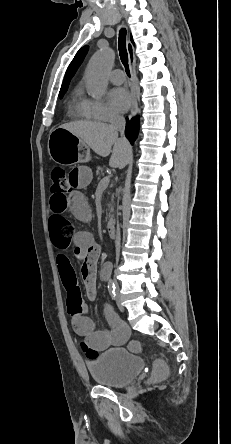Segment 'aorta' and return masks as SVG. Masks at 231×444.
Listing matches in <instances>:
<instances>
[{"mask_svg":"<svg viewBox=\"0 0 231 444\" xmlns=\"http://www.w3.org/2000/svg\"><path fill=\"white\" fill-rule=\"evenodd\" d=\"M114 61L113 52L110 49L98 51L90 60L85 80L88 91L95 99H101L107 89V71Z\"/></svg>","mask_w":231,"mask_h":444,"instance_id":"obj_1","label":"aorta"}]
</instances>
